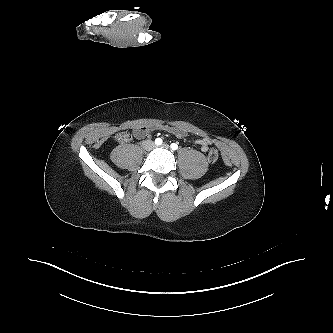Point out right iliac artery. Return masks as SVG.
I'll list each match as a JSON object with an SVG mask.
<instances>
[{
    "label": "right iliac artery",
    "mask_w": 333,
    "mask_h": 333,
    "mask_svg": "<svg viewBox=\"0 0 333 333\" xmlns=\"http://www.w3.org/2000/svg\"><path fill=\"white\" fill-rule=\"evenodd\" d=\"M162 143H163V141H162L161 138H156V139H155V144H156V145L159 146V145H161Z\"/></svg>",
    "instance_id": "right-iliac-artery-1"
}]
</instances>
